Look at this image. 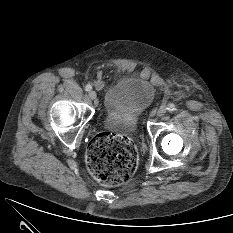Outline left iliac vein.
I'll return each mask as SVG.
<instances>
[{
	"label": "left iliac vein",
	"mask_w": 233,
	"mask_h": 233,
	"mask_svg": "<svg viewBox=\"0 0 233 233\" xmlns=\"http://www.w3.org/2000/svg\"><path fill=\"white\" fill-rule=\"evenodd\" d=\"M166 113V108L164 106H161L158 110H157V116L161 117Z\"/></svg>",
	"instance_id": "obj_1"
}]
</instances>
